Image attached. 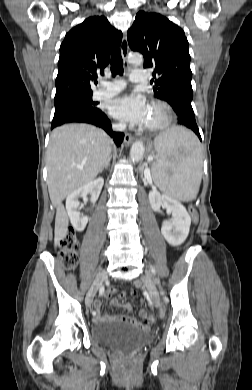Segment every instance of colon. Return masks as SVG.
<instances>
[{
  "label": "colon",
  "instance_id": "colon-1",
  "mask_svg": "<svg viewBox=\"0 0 252 390\" xmlns=\"http://www.w3.org/2000/svg\"><path fill=\"white\" fill-rule=\"evenodd\" d=\"M189 213L193 222L196 223L198 218L197 211L194 206L189 207ZM78 246V239L73 232L68 233L64 238L61 239L59 243L60 251L58 254V260L65 269L70 270L77 265L79 261V256L77 253ZM120 294H124V292L121 291ZM131 295L136 296L137 291L132 290Z\"/></svg>",
  "mask_w": 252,
  "mask_h": 390
}]
</instances>
